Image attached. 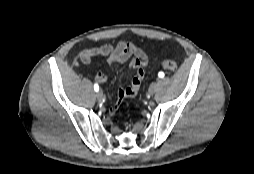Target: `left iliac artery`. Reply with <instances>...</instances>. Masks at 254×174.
<instances>
[{
    "mask_svg": "<svg viewBox=\"0 0 254 174\" xmlns=\"http://www.w3.org/2000/svg\"><path fill=\"white\" fill-rule=\"evenodd\" d=\"M164 75H165L164 72H159V73H158L159 78H163Z\"/></svg>",
    "mask_w": 254,
    "mask_h": 174,
    "instance_id": "left-iliac-artery-1",
    "label": "left iliac artery"
}]
</instances>
